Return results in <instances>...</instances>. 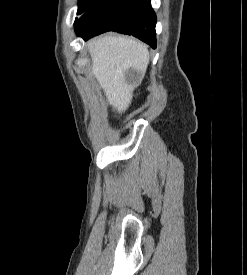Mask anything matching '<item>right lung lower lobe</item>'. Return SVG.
<instances>
[{
  "instance_id": "98d812e1",
  "label": "right lung lower lobe",
  "mask_w": 247,
  "mask_h": 275,
  "mask_svg": "<svg viewBox=\"0 0 247 275\" xmlns=\"http://www.w3.org/2000/svg\"><path fill=\"white\" fill-rule=\"evenodd\" d=\"M156 15L150 0H106L85 12L75 31L85 40L107 31L133 35L156 47Z\"/></svg>"
}]
</instances>
